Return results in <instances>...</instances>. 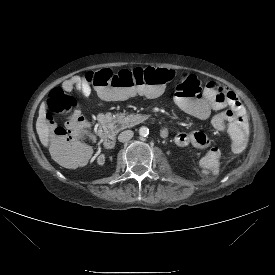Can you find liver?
Listing matches in <instances>:
<instances>
[{
  "label": "liver",
  "mask_w": 275,
  "mask_h": 275,
  "mask_svg": "<svg viewBox=\"0 0 275 275\" xmlns=\"http://www.w3.org/2000/svg\"><path fill=\"white\" fill-rule=\"evenodd\" d=\"M36 130L39 135L41 143L48 147L49 145V136H50V126L46 118V104L42 103L39 109V116L36 122Z\"/></svg>",
  "instance_id": "6515ba94"
}]
</instances>
